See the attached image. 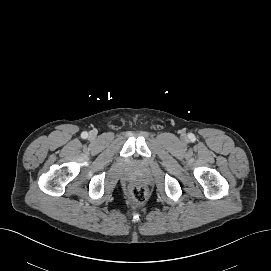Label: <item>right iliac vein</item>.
<instances>
[{
    "instance_id": "63e3f726",
    "label": "right iliac vein",
    "mask_w": 271,
    "mask_h": 271,
    "mask_svg": "<svg viewBox=\"0 0 271 271\" xmlns=\"http://www.w3.org/2000/svg\"><path fill=\"white\" fill-rule=\"evenodd\" d=\"M95 136H96V133H95L94 131H91V132L89 133V137H90L91 139L95 138Z\"/></svg>"
}]
</instances>
